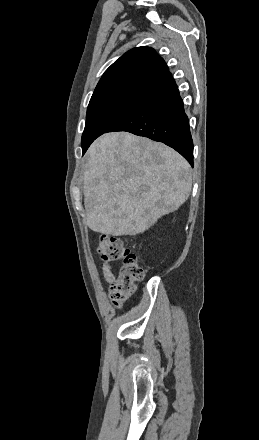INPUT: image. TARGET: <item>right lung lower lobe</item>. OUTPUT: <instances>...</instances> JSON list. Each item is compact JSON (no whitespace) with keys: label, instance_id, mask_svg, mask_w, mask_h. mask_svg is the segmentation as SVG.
<instances>
[{"label":"right lung lower lobe","instance_id":"obj_1","mask_svg":"<svg viewBox=\"0 0 259 440\" xmlns=\"http://www.w3.org/2000/svg\"><path fill=\"white\" fill-rule=\"evenodd\" d=\"M127 131L163 142L193 167V141L183 101L171 73L158 81L122 119L106 132ZM90 144L83 148V154Z\"/></svg>","mask_w":259,"mask_h":440}]
</instances>
